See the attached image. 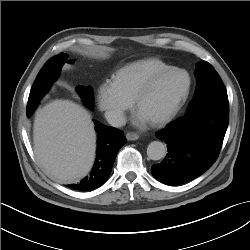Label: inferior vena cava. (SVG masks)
<instances>
[{"label": "inferior vena cava", "instance_id": "obj_1", "mask_svg": "<svg viewBox=\"0 0 250 250\" xmlns=\"http://www.w3.org/2000/svg\"><path fill=\"white\" fill-rule=\"evenodd\" d=\"M105 118L107 122L114 127H121L126 124L123 113L117 110L106 111Z\"/></svg>", "mask_w": 250, "mask_h": 250}]
</instances>
